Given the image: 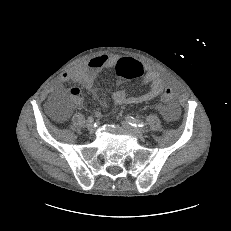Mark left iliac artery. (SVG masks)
I'll return each mask as SVG.
<instances>
[{
  "instance_id": "1",
  "label": "left iliac artery",
  "mask_w": 231,
  "mask_h": 231,
  "mask_svg": "<svg viewBox=\"0 0 231 231\" xmlns=\"http://www.w3.org/2000/svg\"><path fill=\"white\" fill-rule=\"evenodd\" d=\"M126 120L128 121V123L130 125H132L134 127H145L146 126L145 122L138 120V119H135L132 116H127Z\"/></svg>"
}]
</instances>
